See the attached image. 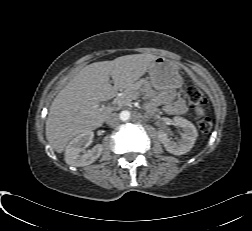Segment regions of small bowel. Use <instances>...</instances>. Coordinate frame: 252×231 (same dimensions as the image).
<instances>
[{
  "label": "small bowel",
  "instance_id": "obj_1",
  "mask_svg": "<svg viewBox=\"0 0 252 231\" xmlns=\"http://www.w3.org/2000/svg\"><path fill=\"white\" fill-rule=\"evenodd\" d=\"M166 108L169 112L175 113V114H182L186 111V107L182 100H177L173 103H167ZM204 111L202 109H197L196 114L197 116H202Z\"/></svg>",
  "mask_w": 252,
  "mask_h": 231
}]
</instances>
